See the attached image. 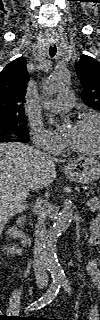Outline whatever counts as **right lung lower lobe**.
<instances>
[{"label":"right lung lower lobe","instance_id":"98d812e1","mask_svg":"<svg viewBox=\"0 0 100 320\" xmlns=\"http://www.w3.org/2000/svg\"><path fill=\"white\" fill-rule=\"evenodd\" d=\"M12 141H15V140L11 139V140H7V141H4V142H12ZM20 142H22V141H20Z\"/></svg>","mask_w":100,"mask_h":320}]
</instances>
